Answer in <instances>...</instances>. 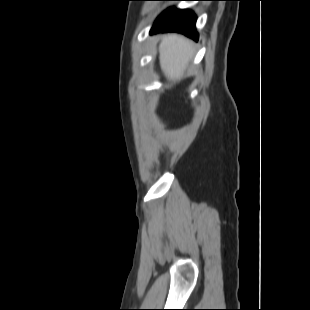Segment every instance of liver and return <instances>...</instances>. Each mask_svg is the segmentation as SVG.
Returning <instances> with one entry per match:
<instances>
[{"label":"liver","instance_id":"6515ba94","mask_svg":"<svg viewBox=\"0 0 310 310\" xmlns=\"http://www.w3.org/2000/svg\"><path fill=\"white\" fill-rule=\"evenodd\" d=\"M192 55V42L180 35L169 34L160 46V64L170 79L180 77Z\"/></svg>","mask_w":310,"mask_h":310}]
</instances>
